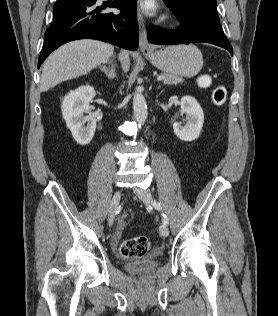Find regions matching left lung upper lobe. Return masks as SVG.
Here are the masks:
<instances>
[{
	"mask_svg": "<svg viewBox=\"0 0 278 316\" xmlns=\"http://www.w3.org/2000/svg\"><path fill=\"white\" fill-rule=\"evenodd\" d=\"M187 27L225 36L217 13L216 0H164Z\"/></svg>",
	"mask_w": 278,
	"mask_h": 316,
	"instance_id": "left-lung-upper-lobe-1",
	"label": "left lung upper lobe"
}]
</instances>
